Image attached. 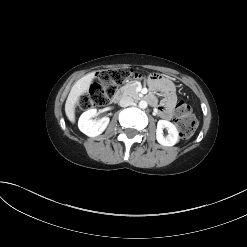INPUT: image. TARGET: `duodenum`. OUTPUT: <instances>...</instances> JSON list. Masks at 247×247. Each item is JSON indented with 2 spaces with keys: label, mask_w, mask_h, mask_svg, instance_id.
Masks as SVG:
<instances>
[{
  "label": "duodenum",
  "mask_w": 247,
  "mask_h": 247,
  "mask_svg": "<svg viewBox=\"0 0 247 247\" xmlns=\"http://www.w3.org/2000/svg\"><path fill=\"white\" fill-rule=\"evenodd\" d=\"M123 96V89H118V94L115 97V101H119ZM144 100H146L150 104H154L155 102L154 98L150 95L145 96Z\"/></svg>",
  "instance_id": "duodenum-1"
}]
</instances>
